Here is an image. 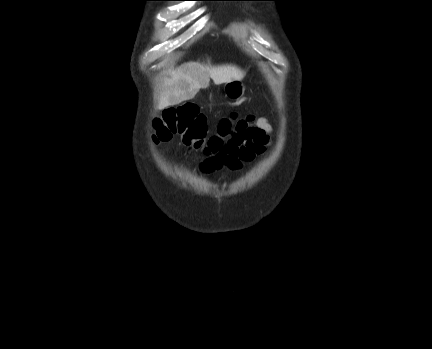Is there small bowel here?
Masks as SVG:
<instances>
[{"label": "small bowel", "instance_id": "1", "mask_svg": "<svg viewBox=\"0 0 432 349\" xmlns=\"http://www.w3.org/2000/svg\"><path fill=\"white\" fill-rule=\"evenodd\" d=\"M273 128L269 121L260 118L255 126L250 127L245 133L232 140L224 154L216 160H206L203 163L204 171H213L226 167L237 171L242 169L245 163L254 161L261 156L270 146Z\"/></svg>", "mask_w": 432, "mask_h": 349}]
</instances>
